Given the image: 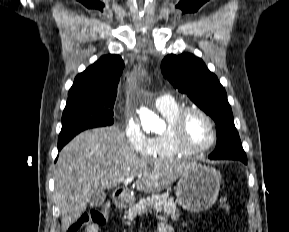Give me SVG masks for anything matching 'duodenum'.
<instances>
[{"mask_svg":"<svg viewBox=\"0 0 289 232\" xmlns=\"http://www.w3.org/2000/svg\"><path fill=\"white\" fill-rule=\"evenodd\" d=\"M113 201L116 207L124 208L130 204L131 198L126 190L118 189L113 194Z\"/></svg>","mask_w":289,"mask_h":232,"instance_id":"duodenum-1","label":"duodenum"}]
</instances>
